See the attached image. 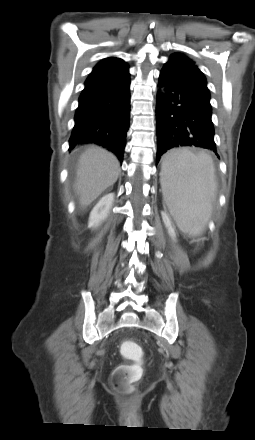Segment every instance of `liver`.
I'll return each instance as SVG.
<instances>
[{"instance_id":"liver-1","label":"liver","mask_w":255,"mask_h":440,"mask_svg":"<svg viewBox=\"0 0 255 440\" xmlns=\"http://www.w3.org/2000/svg\"><path fill=\"white\" fill-rule=\"evenodd\" d=\"M120 173L115 155L98 147H88L80 156L74 188L82 207H87L112 186Z\"/></svg>"}]
</instances>
